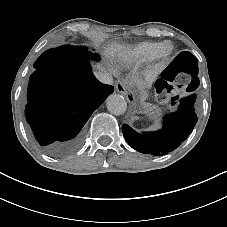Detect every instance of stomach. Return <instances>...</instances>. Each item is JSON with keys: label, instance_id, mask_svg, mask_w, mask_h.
I'll return each mask as SVG.
<instances>
[{"label": "stomach", "instance_id": "stomach-1", "mask_svg": "<svg viewBox=\"0 0 227 227\" xmlns=\"http://www.w3.org/2000/svg\"><path fill=\"white\" fill-rule=\"evenodd\" d=\"M142 103H143L145 106H148V105H149V103H148V101H147V99H146L145 96L142 98Z\"/></svg>", "mask_w": 227, "mask_h": 227}]
</instances>
